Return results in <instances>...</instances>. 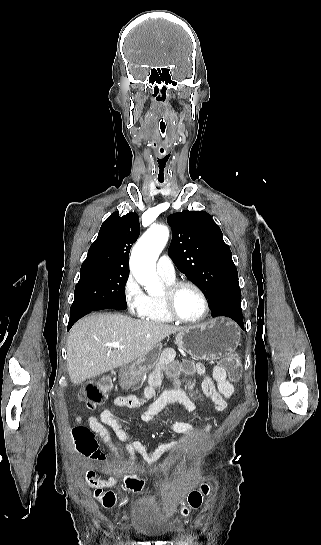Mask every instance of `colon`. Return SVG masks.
<instances>
[{
    "instance_id": "1",
    "label": "colon",
    "mask_w": 321,
    "mask_h": 545,
    "mask_svg": "<svg viewBox=\"0 0 321 545\" xmlns=\"http://www.w3.org/2000/svg\"><path fill=\"white\" fill-rule=\"evenodd\" d=\"M222 365L232 379H237L239 377L240 364L236 355H228L222 361ZM107 396L108 385L103 381H89L83 386L80 392V399L90 409H94L103 404ZM73 434L84 452H94L96 450V443L93 434L88 428L84 426H77L73 429ZM125 481L126 485L134 491H138L142 488V481L135 476H128ZM208 491L209 488L205 484L199 490H192L187 498V506L189 508H198L202 504L203 497L208 493ZM95 495L101 499L106 508L113 507L117 500L116 494L113 491H103L102 489L97 488ZM186 512L187 508H184L183 514Z\"/></svg>"
}]
</instances>
